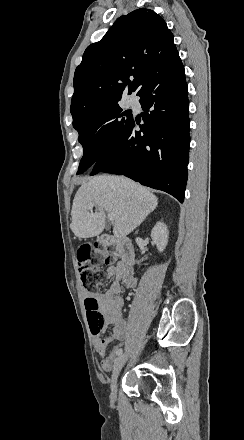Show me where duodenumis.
I'll use <instances>...</instances> for the list:
<instances>
[{
	"label": "duodenum",
	"mask_w": 244,
	"mask_h": 440,
	"mask_svg": "<svg viewBox=\"0 0 244 440\" xmlns=\"http://www.w3.org/2000/svg\"><path fill=\"white\" fill-rule=\"evenodd\" d=\"M101 244L104 246H109L115 244L117 246L118 254L122 262L127 265H133L135 262V251L132 245V241L126 237L111 238L109 236H102Z\"/></svg>",
	"instance_id": "duodenum-1"
}]
</instances>
